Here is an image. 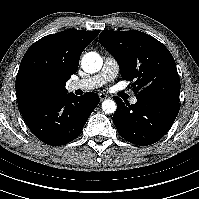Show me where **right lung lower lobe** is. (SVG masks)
I'll return each mask as SVG.
<instances>
[{
    "label": "right lung lower lobe",
    "mask_w": 199,
    "mask_h": 199,
    "mask_svg": "<svg viewBox=\"0 0 199 199\" xmlns=\"http://www.w3.org/2000/svg\"><path fill=\"white\" fill-rule=\"evenodd\" d=\"M96 93L66 94L26 106L21 114L31 132L48 145L60 146L76 139L98 105Z\"/></svg>",
    "instance_id": "obj_1"
}]
</instances>
